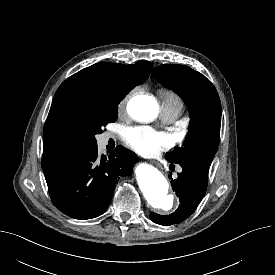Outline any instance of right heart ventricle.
I'll return each mask as SVG.
<instances>
[{
  "label": "right heart ventricle",
  "instance_id": "1",
  "mask_svg": "<svg viewBox=\"0 0 275 275\" xmlns=\"http://www.w3.org/2000/svg\"><path fill=\"white\" fill-rule=\"evenodd\" d=\"M160 98L162 105L174 106L182 110L183 103L180 96L176 92L169 89L162 90L160 91Z\"/></svg>",
  "mask_w": 275,
  "mask_h": 275
}]
</instances>
